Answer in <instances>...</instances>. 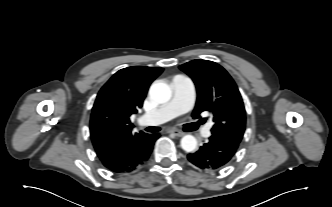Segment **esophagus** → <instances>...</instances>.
I'll list each match as a JSON object with an SVG mask.
<instances>
[{
    "label": "esophagus",
    "instance_id": "1",
    "mask_svg": "<svg viewBox=\"0 0 332 207\" xmlns=\"http://www.w3.org/2000/svg\"><path fill=\"white\" fill-rule=\"evenodd\" d=\"M168 132L171 133V134H174V135L177 136V137H181V136L184 135V132H181V131H179V130H175V129H171V130H169Z\"/></svg>",
    "mask_w": 332,
    "mask_h": 207
}]
</instances>
